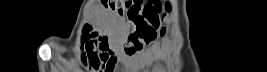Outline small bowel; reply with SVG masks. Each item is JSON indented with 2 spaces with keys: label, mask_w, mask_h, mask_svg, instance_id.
Here are the masks:
<instances>
[{
  "label": "small bowel",
  "mask_w": 267,
  "mask_h": 72,
  "mask_svg": "<svg viewBox=\"0 0 267 72\" xmlns=\"http://www.w3.org/2000/svg\"><path fill=\"white\" fill-rule=\"evenodd\" d=\"M83 37H88L89 42L87 43L91 48H95L100 40L105 39L106 41L108 40L107 37V31L102 30L100 32L98 31H93L90 35L83 36ZM82 37V39H83ZM82 39H81V61L85 64L84 58H88L87 55L83 51V46H82ZM105 58H104V64L107 66H114L119 60L125 62L126 64H131L134 66H145L149 63H153L158 61L160 58L164 57L165 54L161 53L160 47L157 45H154L151 47L149 50L137 53L135 55H126L123 53L120 49H115L112 50L111 48H108L105 51ZM97 63H100L99 59L95 60Z\"/></svg>",
  "instance_id": "small-bowel-1"
}]
</instances>
